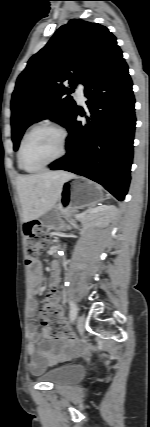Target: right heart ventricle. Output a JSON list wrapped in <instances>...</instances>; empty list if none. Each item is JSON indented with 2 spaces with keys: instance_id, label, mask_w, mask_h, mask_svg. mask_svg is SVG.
Listing matches in <instances>:
<instances>
[{
  "instance_id": "right-heart-ventricle-1",
  "label": "right heart ventricle",
  "mask_w": 150,
  "mask_h": 427,
  "mask_svg": "<svg viewBox=\"0 0 150 427\" xmlns=\"http://www.w3.org/2000/svg\"><path fill=\"white\" fill-rule=\"evenodd\" d=\"M27 134V132L24 134V136H23V138L25 137V135ZM23 138H22V140H23ZM22 140H21V142H22ZM20 145H21V143H20ZM20 148V147H19ZM18 154H19V151H18ZM18 164H19V159H18ZM19 167H20V164H19ZM21 168V167H20Z\"/></svg>"
}]
</instances>
